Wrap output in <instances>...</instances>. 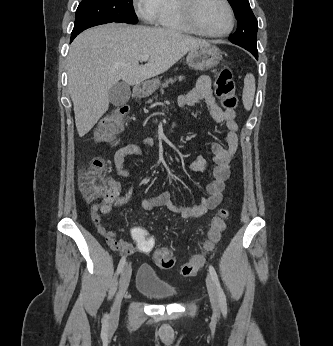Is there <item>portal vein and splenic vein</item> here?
<instances>
[{"mask_svg": "<svg viewBox=\"0 0 333 346\" xmlns=\"http://www.w3.org/2000/svg\"><path fill=\"white\" fill-rule=\"evenodd\" d=\"M148 59H149L148 56H143V57L141 58V62H146V61H148Z\"/></svg>", "mask_w": 333, "mask_h": 346, "instance_id": "portal-vein-and-splenic-vein-1", "label": "portal vein and splenic vein"}]
</instances>
